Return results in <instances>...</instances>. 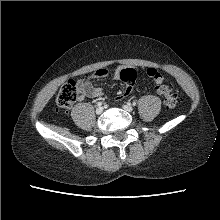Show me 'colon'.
<instances>
[{"label":"colon","instance_id":"obj_1","mask_svg":"<svg viewBox=\"0 0 220 220\" xmlns=\"http://www.w3.org/2000/svg\"><path fill=\"white\" fill-rule=\"evenodd\" d=\"M147 76L154 79V81L159 82L160 84L157 87L159 94L164 97L165 106L168 109H173L178 104V98L173 93L172 88L168 85L161 84L163 81L162 75L156 69H147ZM120 79L124 83L125 87L123 94H129L137 80V72L132 68L123 69L120 72ZM78 98V87L74 80L67 81L60 89L56 103L61 109H69Z\"/></svg>","mask_w":220,"mask_h":220}]
</instances>
